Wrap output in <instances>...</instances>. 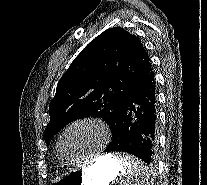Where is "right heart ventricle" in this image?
<instances>
[{"mask_svg": "<svg viewBox=\"0 0 207 185\" xmlns=\"http://www.w3.org/2000/svg\"><path fill=\"white\" fill-rule=\"evenodd\" d=\"M58 159L63 162V159L60 157V155L57 153Z\"/></svg>", "mask_w": 207, "mask_h": 185, "instance_id": "obj_1", "label": "right heart ventricle"}]
</instances>
